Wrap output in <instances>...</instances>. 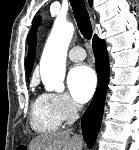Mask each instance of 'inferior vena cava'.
I'll return each mask as SVG.
<instances>
[{"label": "inferior vena cava", "mask_w": 139, "mask_h": 150, "mask_svg": "<svg viewBox=\"0 0 139 150\" xmlns=\"http://www.w3.org/2000/svg\"><path fill=\"white\" fill-rule=\"evenodd\" d=\"M78 109H79V110L81 109V106H80V105L78 106ZM69 131H71V130H69Z\"/></svg>", "instance_id": "obj_1"}]
</instances>
